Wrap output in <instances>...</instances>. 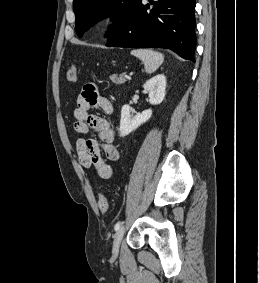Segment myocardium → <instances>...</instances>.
<instances>
[{"label": "myocardium", "instance_id": "f54148a6", "mask_svg": "<svg viewBox=\"0 0 259 283\" xmlns=\"http://www.w3.org/2000/svg\"><path fill=\"white\" fill-rule=\"evenodd\" d=\"M116 21L115 18L112 16H106L101 18L98 23H97V28L101 31V32H107L109 31L114 25H115Z\"/></svg>", "mask_w": 259, "mask_h": 283}]
</instances>
